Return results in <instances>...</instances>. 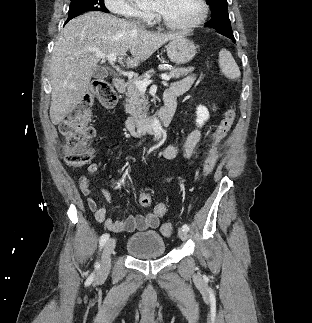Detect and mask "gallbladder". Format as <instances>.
Masks as SVG:
<instances>
[{
	"label": "gallbladder",
	"mask_w": 312,
	"mask_h": 323,
	"mask_svg": "<svg viewBox=\"0 0 312 323\" xmlns=\"http://www.w3.org/2000/svg\"><path fill=\"white\" fill-rule=\"evenodd\" d=\"M93 78H107L108 76V70L106 68H103V66H96L95 70H93L92 74Z\"/></svg>",
	"instance_id": "obj_1"
}]
</instances>
